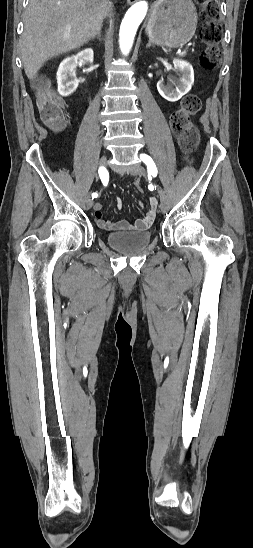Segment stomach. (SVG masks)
Here are the masks:
<instances>
[{
	"mask_svg": "<svg viewBox=\"0 0 253 548\" xmlns=\"http://www.w3.org/2000/svg\"><path fill=\"white\" fill-rule=\"evenodd\" d=\"M196 26L197 11L191 0H158L149 17L146 33L157 45L177 48L192 39Z\"/></svg>",
	"mask_w": 253,
	"mask_h": 548,
	"instance_id": "stomach-1",
	"label": "stomach"
}]
</instances>
